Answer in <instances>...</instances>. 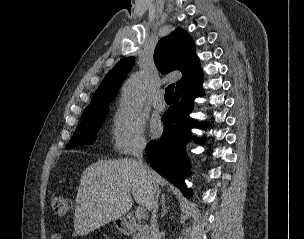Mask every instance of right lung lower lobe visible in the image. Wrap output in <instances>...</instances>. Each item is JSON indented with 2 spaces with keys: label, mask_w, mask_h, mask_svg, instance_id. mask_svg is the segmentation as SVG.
Wrapping results in <instances>:
<instances>
[{
  "label": "right lung lower lobe",
  "mask_w": 304,
  "mask_h": 239,
  "mask_svg": "<svg viewBox=\"0 0 304 239\" xmlns=\"http://www.w3.org/2000/svg\"><path fill=\"white\" fill-rule=\"evenodd\" d=\"M202 83L203 74L176 90L173 106L162 117L164 131L161 138L149 142L146 147L152 168L186 196H189L190 192L184 184V179L189 174L185 144L190 139L191 129L200 127L189 114L193 109L194 99L204 94ZM202 126L206 127L207 124Z\"/></svg>",
  "instance_id": "1"
}]
</instances>
